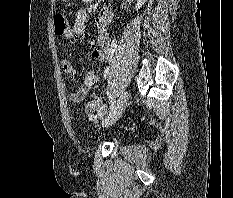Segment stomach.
Masks as SVG:
<instances>
[{
  "mask_svg": "<svg viewBox=\"0 0 233 198\" xmlns=\"http://www.w3.org/2000/svg\"><path fill=\"white\" fill-rule=\"evenodd\" d=\"M63 2H68L69 0H62Z\"/></svg>",
  "mask_w": 233,
  "mask_h": 198,
  "instance_id": "1",
  "label": "stomach"
}]
</instances>
